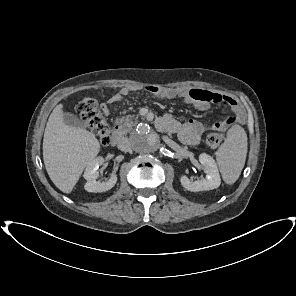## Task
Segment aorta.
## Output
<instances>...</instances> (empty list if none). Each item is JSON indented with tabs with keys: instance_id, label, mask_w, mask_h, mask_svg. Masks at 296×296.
I'll return each instance as SVG.
<instances>
[{
	"instance_id": "aorta-1",
	"label": "aorta",
	"mask_w": 296,
	"mask_h": 296,
	"mask_svg": "<svg viewBox=\"0 0 296 296\" xmlns=\"http://www.w3.org/2000/svg\"><path fill=\"white\" fill-rule=\"evenodd\" d=\"M132 148L141 154H149L156 151L160 140L157 133L148 125H139L131 134Z\"/></svg>"
}]
</instances>
